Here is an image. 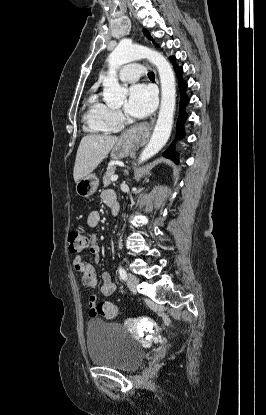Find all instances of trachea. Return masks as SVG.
Instances as JSON below:
<instances>
[{"label": "trachea", "mask_w": 266, "mask_h": 415, "mask_svg": "<svg viewBox=\"0 0 266 415\" xmlns=\"http://www.w3.org/2000/svg\"><path fill=\"white\" fill-rule=\"evenodd\" d=\"M148 77L149 78H154L155 76H154V73L153 72H150L149 74H148Z\"/></svg>", "instance_id": "obj_1"}]
</instances>
